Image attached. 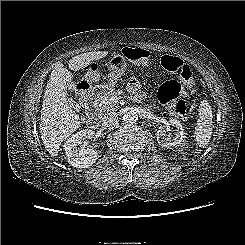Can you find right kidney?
Listing matches in <instances>:
<instances>
[{
	"mask_svg": "<svg viewBox=\"0 0 245 245\" xmlns=\"http://www.w3.org/2000/svg\"><path fill=\"white\" fill-rule=\"evenodd\" d=\"M94 131L85 129L72 135L64 144L65 154L71 166L77 168H87L94 164L102 150L85 148V138H93Z\"/></svg>",
	"mask_w": 245,
	"mask_h": 245,
	"instance_id": "obj_1",
	"label": "right kidney"
}]
</instances>
